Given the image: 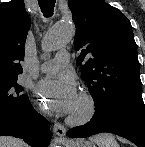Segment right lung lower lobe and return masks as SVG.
Returning a JSON list of instances; mask_svg holds the SVG:
<instances>
[{
  "label": "right lung lower lobe",
  "mask_w": 145,
  "mask_h": 147,
  "mask_svg": "<svg viewBox=\"0 0 145 147\" xmlns=\"http://www.w3.org/2000/svg\"><path fill=\"white\" fill-rule=\"evenodd\" d=\"M0 136L22 138L32 147H46L52 134L49 122L28 102L23 110L0 113Z\"/></svg>",
  "instance_id": "1"
}]
</instances>
